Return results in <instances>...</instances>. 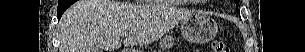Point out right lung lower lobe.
Returning a JSON list of instances; mask_svg holds the SVG:
<instances>
[{
	"mask_svg": "<svg viewBox=\"0 0 305 52\" xmlns=\"http://www.w3.org/2000/svg\"><path fill=\"white\" fill-rule=\"evenodd\" d=\"M74 2L75 0H58V8H57L58 20H60L64 11Z\"/></svg>",
	"mask_w": 305,
	"mask_h": 52,
	"instance_id": "obj_1",
	"label": "right lung lower lobe"
}]
</instances>
